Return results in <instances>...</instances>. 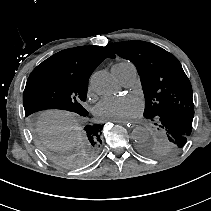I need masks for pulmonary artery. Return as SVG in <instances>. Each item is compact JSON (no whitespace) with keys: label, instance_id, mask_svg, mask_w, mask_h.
Masks as SVG:
<instances>
[{"label":"pulmonary artery","instance_id":"pulmonary-artery-1","mask_svg":"<svg viewBox=\"0 0 211 211\" xmlns=\"http://www.w3.org/2000/svg\"><path fill=\"white\" fill-rule=\"evenodd\" d=\"M112 71L123 85L129 86L136 81L137 70L135 66L126 69H119L117 65H114Z\"/></svg>","mask_w":211,"mask_h":211}]
</instances>
